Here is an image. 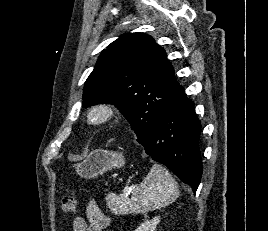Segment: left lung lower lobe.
<instances>
[{
	"mask_svg": "<svg viewBox=\"0 0 268 231\" xmlns=\"http://www.w3.org/2000/svg\"><path fill=\"white\" fill-rule=\"evenodd\" d=\"M201 124L184 90L165 109L154 127L138 142L153 160L167 166L196 192L202 175L199 148Z\"/></svg>",
	"mask_w": 268,
	"mask_h": 231,
	"instance_id": "obj_1",
	"label": "left lung lower lobe"
}]
</instances>
